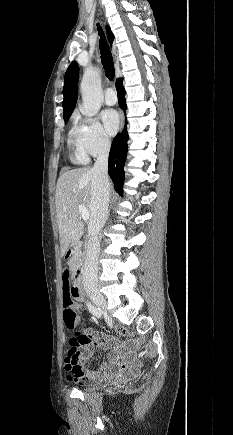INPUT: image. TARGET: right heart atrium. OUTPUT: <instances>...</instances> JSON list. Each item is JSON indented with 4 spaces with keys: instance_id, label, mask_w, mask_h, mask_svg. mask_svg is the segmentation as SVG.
Segmentation results:
<instances>
[{
    "instance_id": "1",
    "label": "right heart atrium",
    "mask_w": 233,
    "mask_h": 435,
    "mask_svg": "<svg viewBox=\"0 0 233 435\" xmlns=\"http://www.w3.org/2000/svg\"><path fill=\"white\" fill-rule=\"evenodd\" d=\"M80 121L84 134L83 148L86 154L94 157L105 154L109 150L111 140L101 124L92 118H81Z\"/></svg>"
}]
</instances>
